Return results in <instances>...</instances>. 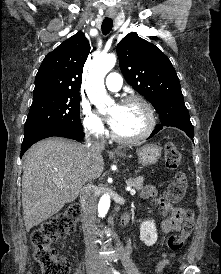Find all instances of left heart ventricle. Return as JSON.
<instances>
[{"label": "left heart ventricle", "instance_id": "1", "mask_svg": "<svg viewBox=\"0 0 221 274\" xmlns=\"http://www.w3.org/2000/svg\"><path fill=\"white\" fill-rule=\"evenodd\" d=\"M115 123L114 131L123 137H134L141 134L147 126V114L144 107L138 103L114 105L109 110Z\"/></svg>", "mask_w": 221, "mask_h": 274}]
</instances>
